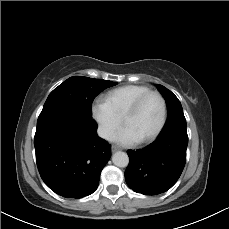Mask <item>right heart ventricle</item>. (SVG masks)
Listing matches in <instances>:
<instances>
[{
    "label": "right heart ventricle",
    "mask_w": 229,
    "mask_h": 229,
    "mask_svg": "<svg viewBox=\"0 0 229 229\" xmlns=\"http://www.w3.org/2000/svg\"><path fill=\"white\" fill-rule=\"evenodd\" d=\"M149 91L150 88L144 85H125L107 92L104 100L112 112L122 119L130 104Z\"/></svg>",
    "instance_id": "obj_1"
}]
</instances>
